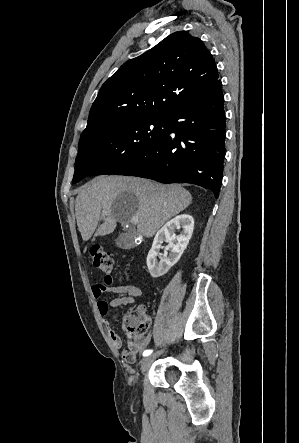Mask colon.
Segmentation results:
<instances>
[{
    "label": "colon",
    "mask_w": 299,
    "mask_h": 443,
    "mask_svg": "<svg viewBox=\"0 0 299 443\" xmlns=\"http://www.w3.org/2000/svg\"><path fill=\"white\" fill-rule=\"evenodd\" d=\"M89 256L93 265L105 274L106 284H112L113 259L99 244L89 246ZM123 326L129 341L142 339L150 327V320L143 310L137 309L125 315Z\"/></svg>",
    "instance_id": "5ec220e1"
}]
</instances>
